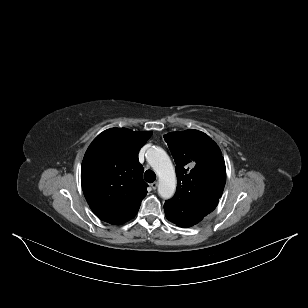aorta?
<instances>
[{
    "instance_id": "1",
    "label": "aorta",
    "mask_w": 308,
    "mask_h": 308,
    "mask_svg": "<svg viewBox=\"0 0 308 308\" xmlns=\"http://www.w3.org/2000/svg\"><path fill=\"white\" fill-rule=\"evenodd\" d=\"M146 158L159 177V195L164 199L171 198L176 190V175L168 154L161 147H151Z\"/></svg>"
}]
</instances>
